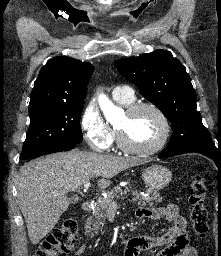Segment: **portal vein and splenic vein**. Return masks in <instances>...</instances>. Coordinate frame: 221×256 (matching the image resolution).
I'll return each mask as SVG.
<instances>
[{
  "mask_svg": "<svg viewBox=\"0 0 221 256\" xmlns=\"http://www.w3.org/2000/svg\"><path fill=\"white\" fill-rule=\"evenodd\" d=\"M89 187H90V182H89V181H86V182L84 183V189H85V190H88ZM123 199H124V198H123ZM110 207L116 208V207H117V203H116L115 201H112Z\"/></svg>",
  "mask_w": 221,
  "mask_h": 256,
  "instance_id": "obj_1",
  "label": "portal vein and splenic vein"
}]
</instances>
